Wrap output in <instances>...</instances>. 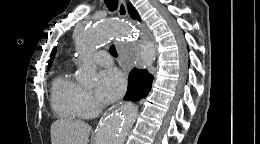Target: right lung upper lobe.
<instances>
[{
	"instance_id": "cb5924a9",
	"label": "right lung upper lobe",
	"mask_w": 260,
	"mask_h": 144,
	"mask_svg": "<svg viewBox=\"0 0 260 144\" xmlns=\"http://www.w3.org/2000/svg\"><path fill=\"white\" fill-rule=\"evenodd\" d=\"M128 12L130 14V16L133 18V19H137V20H140V17H139V14L137 13V11L135 10V8L132 6V4H128ZM55 52H56V48L53 49L52 53H51V57H50V60H49V64L48 66L50 67L51 63H52V60H53V57L55 55Z\"/></svg>"
}]
</instances>
